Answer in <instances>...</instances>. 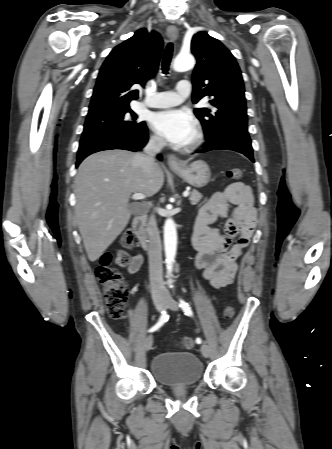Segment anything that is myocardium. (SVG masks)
Masks as SVG:
<instances>
[{"label":"myocardium","mask_w":332,"mask_h":449,"mask_svg":"<svg viewBox=\"0 0 332 449\" xmlns=\"http://www.w3.org/2000/svg\"><path fill=\"white\" fill-rule=\"evenodd\" d=\"M202 140H203L202 132L199 129L195 130L194 136L191 139V141L187 144L186 149L193 150L197 148L202 143Z\"/></svg>","instance_id":"myocardium-1"}]
</instances>
